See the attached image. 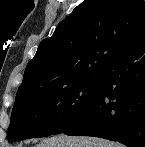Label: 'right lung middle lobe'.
<instances>
[{
    "instance_id": "dd1d6c3e",
    "label": "right lung middle lobe",
    "mask_w": 145,
    "mask_h": 147,
    "mask_svg": "<svg viewBox=\"0 0 145 147\" xmlns=\"http://www.w3.org/2000/svg\"><path fill=\"white\" fill-rule=\"evenodd\" d=\"M101 73L82 76L51 91L16 95L7 137L11 142L63 133L96 96Z\"/></svg>"
}]
</instances>
